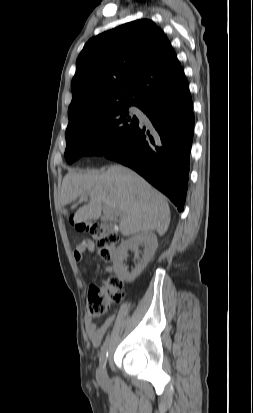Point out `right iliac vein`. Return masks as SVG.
I'll return each instance as SVG.
<instances>
[{"instance_id":"1","label":"right iliac vein","mask_w":253,"mask_h":413,"mask_svg":"<svg viewBox=\"0 0 253 413\" xmlns=\"http://www.w3.org/2000/svg\"><path fill=\"white\" fill-rule=\"evenodd\" d=\"M97 378L101 382L107 381V373L104 368H100L97 372Z\"/></svg>"}]
</instances>
